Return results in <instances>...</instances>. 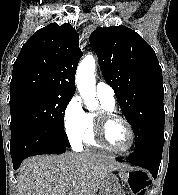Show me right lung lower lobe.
<instances>
[{
    "label": "right lung lower lobe",
    "mask_w": 178,
    "mask_h": 195,
    "mask_svg": "<svg viewBox=\"0 0 178 195\" xmlns=\"http://www.w3.org/2000/svg\"><path fill=\"white\" fill-rule=\"evenodd\" d=\"M69 146L68 140L54 130L38 132H18L11 135L10 153L13 168L30 156L39 154H61Z\"/></svg>",
    "instance_id": "98d812e1"
}]
</instances>
